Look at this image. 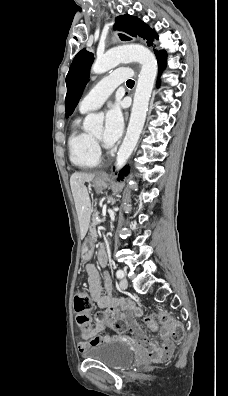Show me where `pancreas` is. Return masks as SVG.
<instances>
[{
    "mask_svg": "<svg viewBox=\"0 0 228 396\" xmlns=\"http://www.w3.org/2000/svg\"><path fill=\"white\" fill-rule=\"evenodd\" d=\"M91 220L93 221V223H92V225H91V228H90V233L92 234V236L93 237H95L94 239L96 240L97 238H96V225L99 223V224H102L103 223V217H100L98 214H94L92 217H91Z\"/></svg>",
    "mask_w": 228,
    "mask_h": 396,
    "instance_id": "1",
    "label": "pancreas"
}]
</instances>
